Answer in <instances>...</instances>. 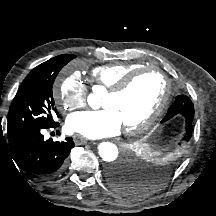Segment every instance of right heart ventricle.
<instances>
[{
    "instance_id": "obj_1",
    "label": "right heart ventricle",
    "mask_w": 216,
    "mask_h": 216,
    "mask_svg": "<svg viewBox=\"0 0 216 216\" xmlns=\"http://www.w3.org/2000/svg\"><path fill=\"white\" fill-rule=\"evenodd\" d=\"M142 67L134 62H114L100 65L92 69L91 77L95 85L110 89L115 86L124 76Z\"/></svg>"
}]
</instances>
